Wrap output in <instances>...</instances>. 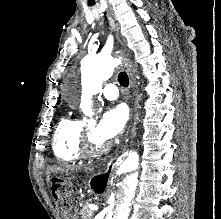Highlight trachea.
<instances>
[{"label": "trachea", "instance_id": "1", "mask_svg": "<svg viewBox=\"0 0 221 219\" xmlns=\"http://www.w3.org/2000/svg\"><path fill=\"white\" fill-rule=\"evenodd\" d=\"M90 6L94 5V2L89 3ZM118 82L120 83L121 86L127 87L129 84V78L126 72H120L118 75Z\"/></svg>", "mask_w": 221, "mask_h": 219}]
</instances>
